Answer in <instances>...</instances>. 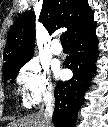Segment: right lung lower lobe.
<instances>
[{
	"instance_id": "obj_1",
	"label": "right lung lower lobe",
	"mask_w": 108,
	"mask_h": 127,
	"mask_svg": "<svg viewBox=\"0 0 108 127\" xmlns=\"http://www.w3.org/2000/svg\"><path fill=\"white\" fill-rule=\"evenodd\" d=\"M96 24L91 20L79 31L69 37L70 54L65 66L73 71V77L59 81L55 88V127H73L79 108L84 102V94L91 84L97 59Z\"/></svg>"
}]
</instances>
